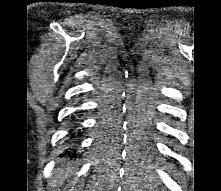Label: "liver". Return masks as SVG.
<instances>
[{"mask_svg": "<svg viewBox=\"0 0 221 191\" xmlns=\"http://www.w3.org/2000/svg\"><path fill=\"white\" fill-rule=\"evenodd\" d=\"M69 173H70L69 170H63V169L58 170V171L55 172V177H56V179H62L64 177L68 176Z\"/></svg>", "mask_w": 221, "mask_h": 191, "instance_id": "6515ba94", "label": "liver"}]
</instances>
